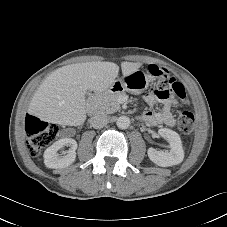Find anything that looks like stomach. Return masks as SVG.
Segmentation results:
<instances>
[{"mask_svg": "<svg viewBox=\"0 0 227 227\" xmlns=\"http://www.w3.org/2000/svg\"><path fill=\"white\" fill-rule=\"evenodd\" d=\"M150 82V76L138 69L123 76L121 79L115 80L109 88V92L117 93L126 91L131 94H141L149 87Z\"/></svg>", "mask_w": 227, "mask_h": 227, "instance_id": "0dacf381", "label": "stomach"}]
</instances>
